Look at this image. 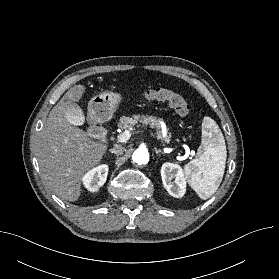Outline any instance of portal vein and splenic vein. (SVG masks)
<instances>
[{
  "instance_id": "portal-vein-and-splenic-vein-1",
  "label": "portal vein and splenic vein",
  "mask_w": 279,
  "mask_h": 279,
  "mask_svg": "<svg viewBox=\"0 0 279 279\" xmlns=\"http://www.w3.org/2000/svg\"><path fill=\"white\" fill-rule=\"evenodd\" d=\"M130 137H131L130 132L128 130H126L125 132H123L117 136V140L120 143H124V142H127V140H129Z\"/></svg>"
}]
</instances>
